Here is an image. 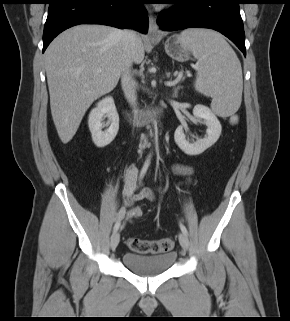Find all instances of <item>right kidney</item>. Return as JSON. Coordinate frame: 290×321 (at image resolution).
<instances>
[{
  "label": "right kidney",
  "instance_id": "ca27d5eb",
  "mask_svg": "<svg viewBox=\"0 0 290 321\" xmlns=\"http://www.w3.org/2000/svg\"><path fill=\"white\" fill-rule=\"evenodd\" d=\"M107 117L110 125L106 131H102L105 126L103 118ZM88 126L92 135L93 143L99 147H105L116 137L119 130V116L112 97H105L93 108L88 117Z\"/></svg>",
  "mask_w": 290,
  "mask_h": 321
}]
</instances>
